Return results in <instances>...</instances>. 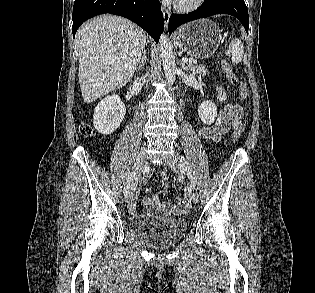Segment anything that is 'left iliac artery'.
I'll use <instances>...</instances> for the list:
<instances>
[{
	"label": "left iliac artery",
	"instance_id": "obj_1",
	"mask_svg": "<svg viewBox=\"0 0 315 293\" xmlns=\"http://www.w3.org/2000/svg\"><path fill=\"white\" fill-rule=\"evenodd\" d=\"M181 167L187 173L189 179L191 180V182L194 185V178H193L191 169H190V167L188 165V162L186 161V159L183 156L181 157Z\"/></svg>",
	"mask_w": 315,
	"mask_h": 293
}]
</instances>
